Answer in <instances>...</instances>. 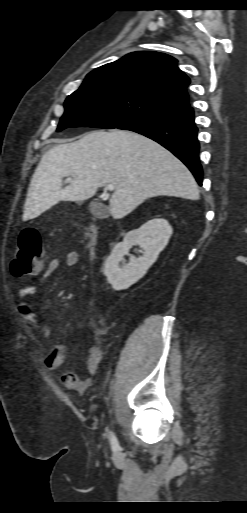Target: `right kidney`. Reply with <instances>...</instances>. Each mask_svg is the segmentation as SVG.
Wrapping results in <instances>:
<instances>
[{
	"mask_svg": "<svg viewBox=\"0 0 247 513\" xmlns=\"http://www.w3.org/2000/svg\"><path fill=\"white\" fill-rule=\"evenodd\" d=\"M172 233L168 221L161 218L150 220L139 229L128 232L105 262L104 274L112 288L124 290L142 278L167 245ZM135 245L143 249L142 256H130L126 264L124 256ZM120 262H123L121 266Z\"/></svg>",
	"mask_w": 247,
	"mask_h": 513,
	"instance_id": "right-kidney-1",
	"label": "right kidney"
}]
</instances>
